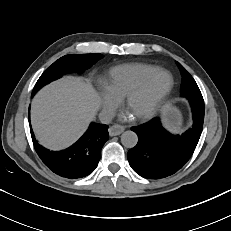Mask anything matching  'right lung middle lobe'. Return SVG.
<instances>
[{
    "mask_svg": "<svg viewBox=\"0 0 231 231\" xmlns=\"http://www.w3.org/2000/svg\"><path fill=\"white\" fill-rule=\"evenodd\" d=\"M102 54H70L61 57L48 67L40 76L32 92V96L44 85L53 80L60 78L65 73L82 72L91 67L99 59Z\"/></svg>",
    "mask_w": 231,
    "mask_h": 231,
    "instance_id": "right-lung-middle-lobe-1",
    "label": "right lung middle lobe"
}]
</instances>
